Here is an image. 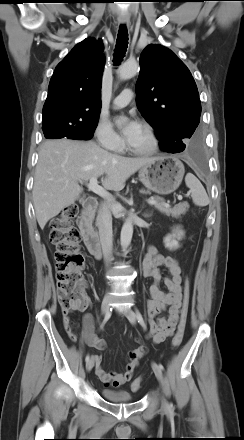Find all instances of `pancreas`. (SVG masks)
<instances>
[{
  "label": "pancreas",
  "mask_w": 244,
  "mask_h": 440,
  "mask_svg": "<svg viewBox=\"0 0 244 440\" xmlns=\"http://www.w3.org/2000/svg\"><path fill=\"white\" fill-rule=\"evenodd\" d=\"M153 199L158 202L154 205L155 208L168 217L172 216L173 218H179L181 215H184L189 209V204L187 202L179 203L171 208L164 205L165 202L162 198L155 196Z\"/></svg>",
  "instance_id": "1"
}]
</instances>
